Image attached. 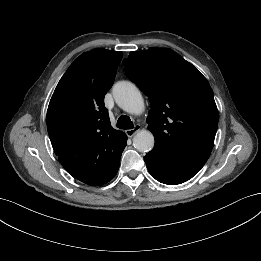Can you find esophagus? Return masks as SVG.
Wrapping results in <instances>:
<instances>
[{
    "label": "esophagus",
    "instance_id": "obj_1",
    "mask_svg": "<svg viewBox=\"0 0 261 261\" xmlns=\"http://www.w3.org/2000/svg\"><path fill=\"white\" fill-rule=\"evenodd\" d=\"M140 129H141V126L137 124V125L134 126L133 129H128V130H126L125 133H126V135H127L128 137H132V136H134L138 131H140Z\"/></svg>",
    "mask_w": 261,
    "mask_h": 261
}]
</instances>
